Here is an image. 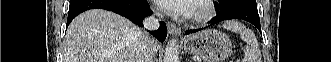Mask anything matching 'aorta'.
I'll list each match as a JSON object with an SVG mask.
<instances>
[{
	"label": "aorta",
	"instance_id": "762f6f07",
	"mask_svg": "<svg viewBox=\"0 0 331 62\" xmlns=\"http://www.w3.org/2000/svg\"><path fill=\"white\" fill-rule=\"evenodd\" d=\"M164 62H179V53H178V46L177 41L175 39H171L166 48L164 53Z\"/></svg>",
	"mask_w": 331,
	"mask_h": 62
}]
</instances>
